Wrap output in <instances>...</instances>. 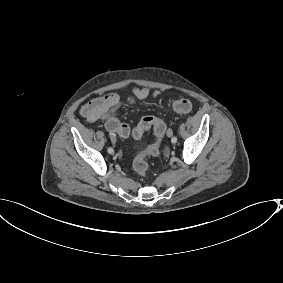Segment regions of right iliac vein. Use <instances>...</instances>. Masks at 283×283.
Here are the masks:
<instances>
[{
  "instance_id": "1",
  "label": "right iliac vein",
  "mask_w": 283,
  "mask_h": 283,
  "mask_svg": "<svg viewBox=\"0 0 283 283\" xmlns=\"http://www.w3.org/2000/svg\"><path fill=\"white\" fill-rule=\"evenodd\" d=\"M112 143H116V138L112 137Z\"/></svg>"
}]
</instances>
